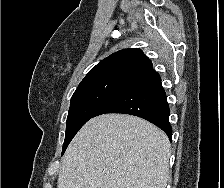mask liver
Wrapping results in <instances>:
<instances>
[{
	"instance_id": "obj_1",
	"label": "liver",
	"mask_w": 224,
	"mask_h": 188,
	"mask_svg": "<svg viewBox=\"0 0 224 188\" xmlns=\"http://www.w3.org/2000/svg\"><path fill=\"white\" fill-rule=\"evenodd\" d=\"M170 141L132 115L90 119L68 146L57 188H166Z\"/></svg>"
}]
</instances>
